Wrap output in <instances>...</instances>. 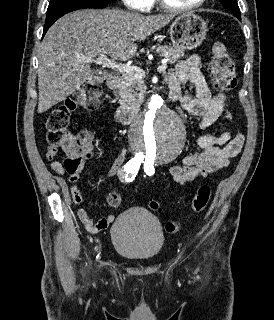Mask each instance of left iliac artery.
<instances>
[{
    "mask_svg": "<svg viewBox=\"0 0 274 320\" xmlns=\"http://www.w3.org/2000/svg\"><path fill=\"white\" fill-rule=\"evenodd\" d=\"M144 171L147 175L151 176L154 174V165L153 162L145 161L144 163Z\"/></svg>",
    "mask_w": 274,
    "mask_h": 320,
    "instance_id": "44dca946",
    "label": "left iliac artery"
}]
</instances>
